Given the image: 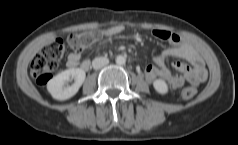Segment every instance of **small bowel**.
I'll use <instances>...</instances> for the list:
<instances>
[{
	"instance_id": "small-bowel-1",
	"label": "small bowel",
	"mask_w": 238,
	"mask_h": 145,
	"mask_svg": "<svg viewBox=\"0 0 238 145\" xmlns=\"http://www.w3.org/2000/svg\"><path fill=\"white\" fill-rule=\"evenodd\" d=\"M123 30V26L117 25L106 29L103 32V36H116ZM153 35L159 39L168 41L171 44V47L162 54L155 56L154 64L146 67L145 76L149 82H155L162 79L171 89H177L183 86L185 81H188L191 85L195 86L206 79L207 71L201 56L182 36L162 29H155ZM169 57L185 59L193 66V69L190 70L189 66L183 62L175 61L173 66L184 73V75H175L166 66V60ZM80 59V52H71L67 57L66 64L69 68H76L79 66L83 71L89 70L91 67L90 61L88 59L80 61Z\"/></svg>"
}]
</instances>
